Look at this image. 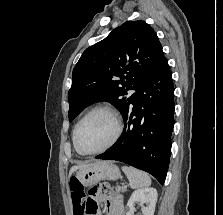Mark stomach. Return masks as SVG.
<instances>
[{
  "label": "stomach",
  "instance_id": "1",
  "mask_svg": "<svg viewBox=\"0 0 223 215\" xmlns=\"http://www.w3.org/2000/svg\"><path fill=\"white\" fill-rule=\"evenodd\" d=\"M119 177V167L113 161H97V163H91L89 167L79 169L70 179H78L83 187H91L102 179H119ZM69 190H73L72 187H69Z\"/></svg>",
  "mask_w": 223,
  "mask_h": 215
}]
</instances>
